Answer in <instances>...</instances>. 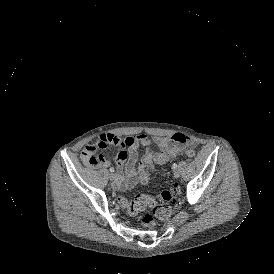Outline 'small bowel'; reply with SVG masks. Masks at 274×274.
<instances>
[{
  "mask_svg": "<svg viewBox=\"0 0 274 274\" xmlns=\"http://www.w3.org/2000/svg\"><path fill=\"white\" fill-rule=\"evenodd\" d=\"M120 145L122 149L115 158L116 170L113 177V186L116 189H131L138 181V174H153L154 166L166 163L178 152L186 148H192V143L183 134H175L172 137L155 136L149 138L146 134L128 136L120 139L112 134H104L96 144L95 150H90L88 145L81 153V160L88 167L106 168L110 162L99 153L98 149H103L107 145ZM159 147L160 151L155 152L151 146ZM143 146L147 152L143 156L141 164L138 163L137 148Z\"/></svg>",
  "mask_w": 274,
  "mask_h": 274,
  "instance_id": "small-bowel-1",
  "label": "small bowel"
}]
</instances>
